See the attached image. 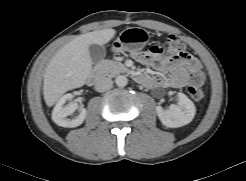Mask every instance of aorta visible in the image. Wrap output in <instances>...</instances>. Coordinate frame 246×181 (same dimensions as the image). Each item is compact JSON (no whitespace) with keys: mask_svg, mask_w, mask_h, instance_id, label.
<instances>
[{"mask_svg":"<svg viewBox=\"0 0 246 181\" xmlns=\"http://www.w3.org/2000/svg\"><path fill=\"white\" fill-rule=\"evenodd\" d=\"M115 82L118 87H125L128 84V79L124 75H119L116 77Z\"/></svg>","mask_w":246,"mask_h":181,"instance_id":"aorta-1","label":"aorta"}]
</instances>
